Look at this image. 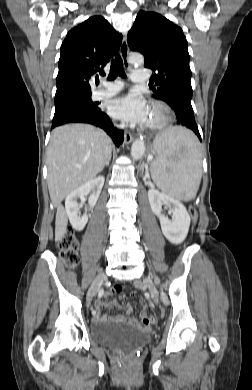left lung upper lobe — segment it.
Segmentation results:
<instances>
[{
  "mask_svg": "<svg viewBox=\"0 0 252 390\" xmlns=\"http://www.w3.org/2000/svg\"><path fill=\"white\" fill-rule=\"evenodd\" d=\"M127 41L132 51L144 55L145 67L153 70L159 86L154 98L168 104L174 99H192L187 40L180 27L154 12L140 11Z\"/></svg>",
  "mask_w": 252,
  "mask_h": 390,
  "instance_id": "left-lung-upper-lobe-1",
  "label": "left lung upper lobe"
}]
</instances>
